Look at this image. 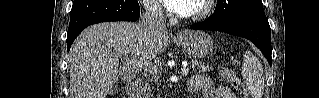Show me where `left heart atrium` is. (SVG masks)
<instances>
[{"instance_id": "1", "label": "left heart atrium", "mask_w": 319, "mask_h": 98, "mask_svg": "<svg viewBox=\"0 0 319 98\" xmlns=\"http://www.w3.org/2000/svg\"><path fill=\"white\" fill-rule=\"evenodd\" d=\"M168 11L172 13H189L191 8V0H163Z\"/></svg>"}]
</instances>
